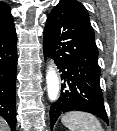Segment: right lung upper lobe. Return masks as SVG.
Here are the masks:
<instances>
[{
  "label": "right lung upper lobe",
  "instance_id": "obj_1",
  "mask_svg": "<svg viewBox=\"0 0 117 131\" xmlns=\"http://www.w3.org/2000/svg\"><path fill=\"white\" fill-rule=\"evenodd\" d=\"M14 26L13 17L9 5L0 3V34Z\"/></svg>",
  "mask_w": 117,
  "mask_h": 131
}]
</instances>
